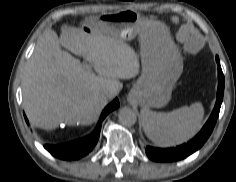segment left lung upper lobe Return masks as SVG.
I'll return each instance as SVG.
<instances>
[{"label": "left lung upper lobe", "mask_w": 236, "mask_h": 182, "mask_svg": "<svg viewBox=\"0 0 236 182\" xmlns=\"http://www.w3.org/2000/svg\"><path fill=\"white\" fill-rule=\"evenodd\" d=\"M217 58H218V56H216V61H218Z\"/></svg>", "instance_id": "1"}]
</instances>
